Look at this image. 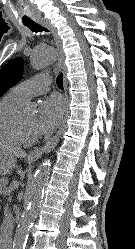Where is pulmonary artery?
Listing matches in <instances>:
<instances>
[{"mask_svg": "<svg viewBox=\"0 0 135 249\" xmlns=\"http://www.w3.org/2000/svg\"><path fill=\"white\" fill-rule=\"evenodd\" d=\"M51 78L47 74L33 76L12 89V92L22 101L43 94L49 90Z\"/></svg>", "mask_w": 135, "mask_h": 249, "instance_id": "obj_1", "label": "pulmonary artery"}]
</instances>
